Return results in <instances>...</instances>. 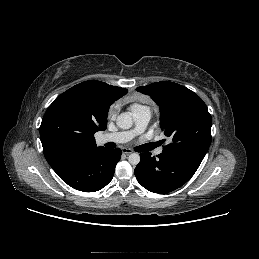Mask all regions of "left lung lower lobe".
I'll return each instance as SVG.
<instances>
[{"label":"left lung lower lobe","instance_id":"1","mask_svg":"<svg viewBox=\"0 0 259 259\" xmlns=\"http://www.w3.org/2000/svg\"><path fill=\"white\" fill-rule=\"evenodd\" d=\"M134 173L137 181L153 193H168L184 185L196 172L202 160L199 157L162 152L157 157L141 153Z\"/></svg>","mask_w":259,"mask_h":259}]
</instances>
